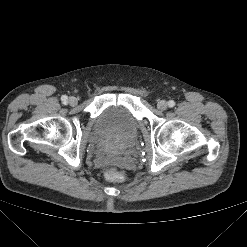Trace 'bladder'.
Returning <instances> with one entry per match:
<instances>
[{
    "mask_svg": "<svg viewBox=\"0 0 247 247\" xmlns=\"http://www.w3.org/2000/svg\"><path fill=\"white\" fill-rule=\"evenodd\" d=\"M138 128V120L130 108L122 104H110L97 116L94 136L98 142H103L100 148L104 153H124L133 148ZM109 136L118 138V142L105 143Z\"/></svg>",
    "mask_w": 247,
    "mask_h": 247,
    "instance_id": "1",
    "label": "bladder"
}]
</instances>
